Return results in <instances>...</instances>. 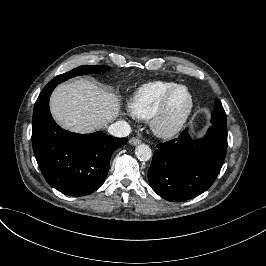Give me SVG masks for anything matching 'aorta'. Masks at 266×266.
Instances as JSON below:
<instances>
[{
  "label": "aorta",
  "instance_id": "obj_1",
  "mask_svg": "<svg viewBox=\"0 0 266 266\" xmlns=\"http://www.w3.org/2000/svg\"><path fill=\"white\" fill-rule=\"evenodd\" d=\"M135 154L137 159L143 162H147L152 158V150L145 144L139 145L135 150Z\"/></svg>",
  "mask_w": 266,
  "mask_h": 266
}]
</instances>
